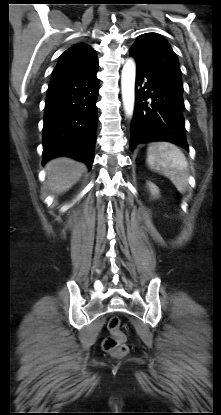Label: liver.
<instances>
[{
	"label": "liver",
	"mask_w": 221,
	"mask_h": 415,
	"mask_svg": "<svg viewBox=\"0 0 221 415\" xmlns=\"http://www.w3.org/2000/svg\"><path fill=\"white\" fill-rule=\"evenodd\" d=\"M45 169L50 190L62 194L81 178L85 165L67 157H59L49 161Z\"/></svg>",
	"instance_id": "liver-1"
}]
</instances>
